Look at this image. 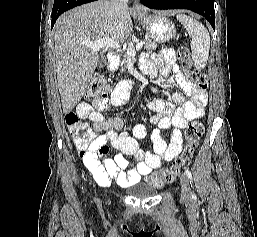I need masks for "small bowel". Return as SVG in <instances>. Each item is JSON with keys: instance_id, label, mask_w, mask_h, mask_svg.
<instances>
[{"instance_id": "obj_1", "label": "small bowel", "mask_w": 257, "mask_h": 237, "mask_svg": "<svg viewBox=\"0 0 257 237\" xmlns=\"http://www.w3.org/2000/svg\"><path fill=\"white\" fill-rule=\"evenodd\" d=\"M175 62L174 52L163 49L159 55L153 56L149 62H144V71L151 75L171 74V67ZM175 80L190 100L185 101L182 93H175L172 101H150L148 109L155 113L151 122L156 128L151 133L153 151H144L140 141L147 135V127L136 125L131 132L125 129V119L117 116L105 118L103 112L110 107L124 105L130 94L132 82L120 81L110 98L93 105L87 102L79 103L77 112L81 118L87 119L91 127L88 132L93 139L84 147L74 139L80 156L96 182L102 186H110L112 180L122 187L139 182L142 176L154 169L160 168L166 162L175 159L182 150V131L192 120L203 116V106L208 97L204 90L193 86L180 72L175 74ZM161 130H168V139L161 135ZM96 132H103L96 135ZM118 151L113 158H108L111 149ZM124 155L133 156L137 163H129Z\"/></svg>"}]
</instances>
